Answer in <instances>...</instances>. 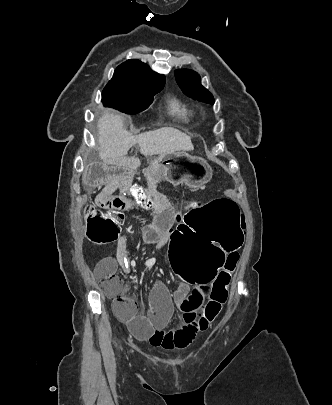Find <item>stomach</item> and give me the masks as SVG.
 Returning a JSON list of instances; mask_svg holds the SVG:
<instances>
[{
  "label": "stomach",
  "mask_w": 332,
  "mask_h": 405,
  "mask_svg": "<svg viewBox=\"0 0 332 405\" xmlns=\"http://www.w3.org/2000/svg\"><path fill=\"white\" fill-rule=\"evenodd\" d=\"M156 159L160 161L161 175L175 186L200 188L205 186L213 175V170L206 161L185 151L160 155Z\"/></svg>",
  "instance_id": "obj_1"
}]
</instances>
